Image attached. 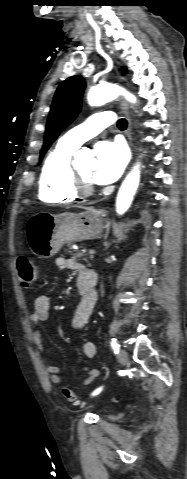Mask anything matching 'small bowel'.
Segmentation results:
<instances>
[{
	"label": "small bowel",
	"instance_id": "obj_1",
	"mask_svg": "<svg viewBox=\"0 0 187 479\" xmlns=\"http://www.w3.org/2000/svg\"><path fill=\"white\" fill-rule=\"evenodd\" d=\"M55 266L58 270H72L78 273L77 289L80 294V302L78 304L75 317L73 320V327L76 331L81 332L87 325L90 317L94 312L96 305L97 296L93 292L90 295L84 294L82 291L83 281L89 271H92L86 268L83 264L78 262L76 259L68 257H57L55 259ZM51 310V301L47 295H39L33 304V312L29 317L30 324L33 327L31 334V340L36 348V351L39 354L44 352V346L42 343V334L40 331V326L43 321L47 320L50 317ZM81 351L87 358H92L96 354V346L90 341H84L81 344ZM43 367L49 374L50 380L54 384H61L62 379L60 376V369L48 362H43ZM83 371L85 377L82 380L83 386H90L96 378L101 375V372L97 369H90L84 367Z\"/></svg>",
	"mask_w": 187,
	"mask_h": 479
}]
</instances>
